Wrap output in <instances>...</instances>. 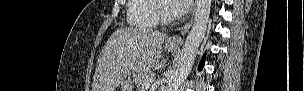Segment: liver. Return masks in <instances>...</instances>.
<instances>
[{
    "instance_id": "liver-1",
    "label": "liver",
    "mask_w": 304,
    "mask_h": 91,
    "mask_svg": "<svg viewBox=\"0 0 304 91\" xmlns=\"http://www.w3.org/2000/svg\"><path fill=\"white\" fill-rule=\"evenodd\" d=\"M165 37L143 28L115 31L100 52L92 91H114L131 74L160 69Z\"/></svg>"
}]
</instances>
